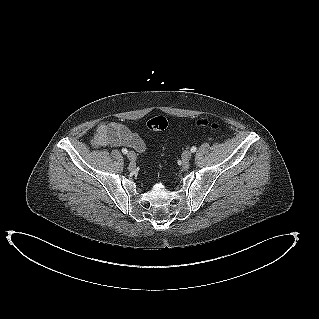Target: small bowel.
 Masks as SVG:
<instances>
[{"mask_svg": "<svg viewBox=\"0 0 319 319\" xmlns=\"http://www.w3.org/2000/svg\"><path fill=\"white\" fill-rule=\"evenodd\" d=\"M93 142L97 147H119L123 145L138 152H145L146 150V144L138 132L131 131L126 126L113 122L101 123Z\"/></svg>", "mask_w": 319, "mask_h": 319, "instance_id": "obj_1", "label": "small bowel"}]
</instances>
